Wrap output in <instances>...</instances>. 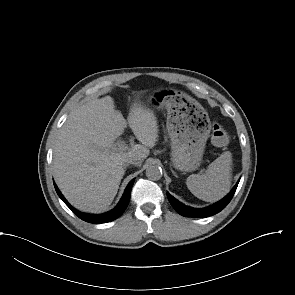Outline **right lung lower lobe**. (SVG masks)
<instances>
[{
	"instance_id": "obj_1",
	"label": "right lung lower lobe",
	"mask_w": 295,
	"mask_h": 295,
	"mask_svg": "<svg viewBox=\"0 0 295 295\" xmlns=\"http://www.w3.org/2000/svg\"><path fill=\"white\" fill-rule=\"evenodd\" d=\"M134 183V179H132L129 184L127 185L124 194L120 200V202L117 204V206L112 209L109 212H106L104 214H98V215H92V214H87V213H82L75 208H73L67 200L63 197L59 189L54 183L55 190L58 194V196L61 198V200L71 209V211L76 214L80 219L83 221L89 222V223H106L115 220L119 216L122 215L124 210L126 209L129 201H130V196H131V189Z\"/></svg>"
}]
</instances>
